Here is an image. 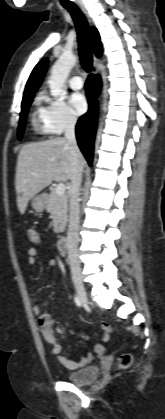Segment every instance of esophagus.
<instances>
[{
    "instance_id": "obj_1",
    "label": "esophagus",
    "mask_w": 165,
    "mask_h": 419,
    "mask_svg": "<svg viewBox=\"0 0 165 419\" xmlns=\"http://www.w3.org/2000/svg\"><path fill=\"white\" fill-rule=\"evenodd\" d=\"M81 8H82L83 12L85 13V15L89 18V21L92 22V19L90 18V15H89V12L87 11V9L85 7H83V6H81ZM98 62H99V59L94 55L93 56L94 66H93V69H92V72L94 74H97L98 73V68L96 66Z\"/></svg>"
}]
</instances>
